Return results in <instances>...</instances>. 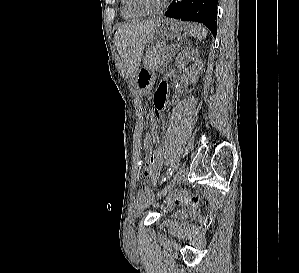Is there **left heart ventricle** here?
Returning a JSON list of instances; mask_svg holds the SVG:
<instances>
[{
  "instance_id": "1",
  "label": "left heart ventricle",
  "mask_w": 299,
  "mask_h": 273,
  "mask_svg": "<svg viewBox=\"0 0 299 273\" xmlns=\"http://www.w3.org/2000/svg\"><path fill=\"white\" fill-rule=\"evenodd\" d=\"M147 5L151 7H156L158 6L163 0H144Z\"/></svg>"
}]
</instances>
